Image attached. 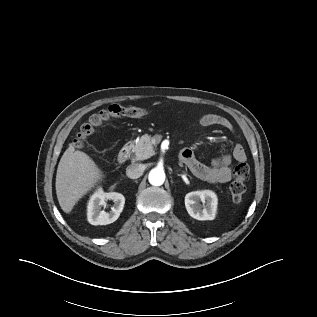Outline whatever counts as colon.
Returning <instances> with one entry per match:
<instances>
[{"mask_svg":"<svg viewBox=\"0 0 317 317\" xmlns=\"http://www.w3.org/2000/svg\"><path fill=\"white\" fill-rule=\"evenodd\" d=\"M147 114V110L141 107H124L114 104L107 109L99 111L90 117L87 123L80 127L75 140L78 147L83 146L85 141L102 125L113 118H139ZM250 175V168L245 163H239L233 171V181L229 186V190L233 202L237 205L242 203L243 194L245 192V182Z\"/></svg>","mask_w":317,"mask_h":317,"instance_id":"5ec220e1","label":"colon"}]
</instances>
